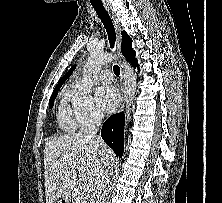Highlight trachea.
<instances>
[{
	"label": "trachea",
	"mask_w": 222,
	"mask_h": 203,
	"mask_svg": "<svg viewBox=\"0 0 222 203\" xmlns=\"http://www.w3.org/2000/svg\"><path fill=\"white\" fill-rule=\"evenodd\" d=\"M92 6L95 9L101 22L103 23V25L107 31L110 47L113 48L114 44H115V40H116V33H115V28L112 23V20L103 5L92 4ZM113 71H114L115 75H120V67L118 65H114Z\"/></svg>",
	"instance_id": "obj_1"
}]
</instances>
